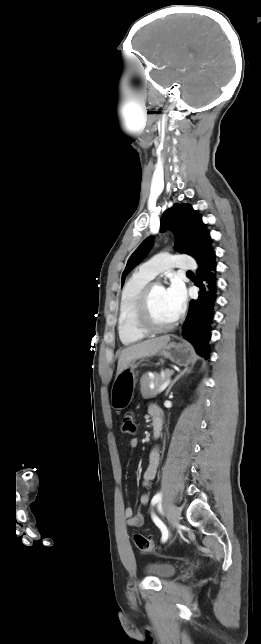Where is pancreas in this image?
Returning a JSON list of instances; mask_svg holds the SVG:
<instances>
[{"label": "pancreas", "mask_w": 261, "mask_h": 644, "mask_svg": "<svg viewBox=\"0 0 261 644\" xmlns=\"http://www.w3.org/2000/svg\"><path fill=\"white\" fill-rule=\"evenodd\" d=\"M173 373L174 371L171 369H166L163 375L155 372L153 374L154 386H155L154 389L150 388L151 377L148 374H144L140 379V385H141L140 390H141L142 397L144 399L154 397L158 389L164 383V381L168 379Z\"/></svg>", "instance_id": "obj_1"}]
</instances>
